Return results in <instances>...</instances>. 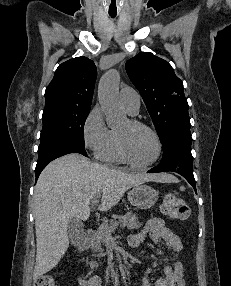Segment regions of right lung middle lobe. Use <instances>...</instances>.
Masks as SVG:
<instances>
[{
	"label": "right lung middle lobe",
	"mask_w": 231,
	"mask_h": 286,
	"mask_svg": "<svg viewBox=\"0 0 231 286\" xmlns=\"http://www.w3.org/2000/svg\"><path fill=\"white\" fill-rule=\"evenodd\" d=\"M90 107L53 105L43 111L39 151L60 142L84 145V123Z\"/></svg>",
	"instance_id": "right-lung-middle-lobe-1"
}]
</instances>
